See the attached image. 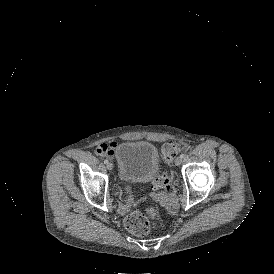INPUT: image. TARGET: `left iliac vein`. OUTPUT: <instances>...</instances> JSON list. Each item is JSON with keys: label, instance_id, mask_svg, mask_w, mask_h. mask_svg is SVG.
Segmentation results:
<instances>
[{"label": "left iliac vein", "instance_id": "1", "mask_svg": "<svg viewBox=\"0 0 274 274\" xmlns=\"http://www.w3.org/2000/svg\"><path fill=\"white\" fill-rule=\"evenodd\" d=\"M182 164V159L180 158V157H177L176 159H175V165L176 166H180Z\"/></svg>", "mask_w": 274, "mask_h": 274}]
</instances>
